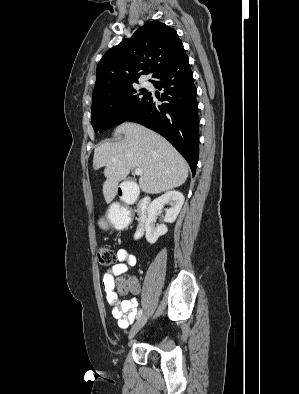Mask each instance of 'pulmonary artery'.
<instances>
[{"label":"pulmonary artery","instance_id":"obj_1","mask_svg":"<svg viewBox=\"0 0 299 394\" xmlns=\"http://www.w3.org/2000/svg\"><path fill=\"white\" fill-rule=\"evenodd\" d=\"M144 86H145L146 88H150V87H152V84H151L149 81H145V82H144Z\"/></svg>","mask_w":299,"mask_h":394}]
</instances>
